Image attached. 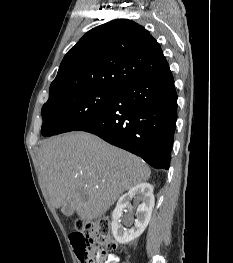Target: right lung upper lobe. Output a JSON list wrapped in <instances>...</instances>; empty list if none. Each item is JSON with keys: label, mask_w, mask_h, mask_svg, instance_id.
I'll list each match as a JSON object with an SVG mask.
<instances>
[{"label": "right lung upper lobe", "mask_w": 233, "mask_h": 263, "mask_svg": "<svg viewBox=\"0 0 233 263\" xmlns=\"http://www.w3.org/2000/svg\"><path fill=\"white\" fill-rule=\"evenodd\" d=\"M169 65L141 25L117 19L87 32L63 58L49 97L86 88L118 90L158 76Z\"/></svg>", "instance_id": "obj_1"}]
</instances>
